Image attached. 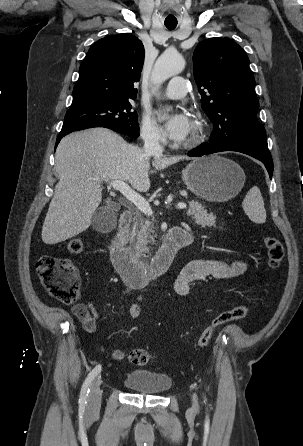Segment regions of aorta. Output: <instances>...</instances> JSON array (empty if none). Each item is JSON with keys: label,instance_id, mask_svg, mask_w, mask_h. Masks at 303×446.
<instances>
[{"label": "aorta", "instance_id": "aorta-1", "mask_svg": "<svg viewBox=\"0 0 303 446\" xmlns=\"http://www.w3.org/2000/svg\"><path fill=\"white\" fill-rule=\"evenodd\" d=\"M185 61L180 54L175 51H165L156 61L151 80L154 91L158 90L161 84L168 78L183 71Z\"/></svg>", "mask_w": 303, "mask_h": 446}]
</instances>
